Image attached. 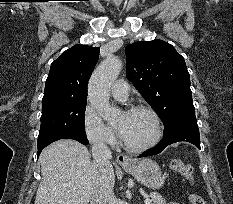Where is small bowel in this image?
I'll list each match as a JSON object with an SVG mask.
<instances>
[{"instance_id": "obj_1", "label": "small bowel", "mask_w": 233, "mask_h": 204, "mask_svg": "<svg viewBox=\"0 0 233 204\" xmlns=\"http://www.w3.org/2000/svg\"><path fill=\"white\" fill-rule=\"evenodd\" d=\"M168 204H179V203H176V202H170V203H168Z\"/></svg>"}]
</instances>
